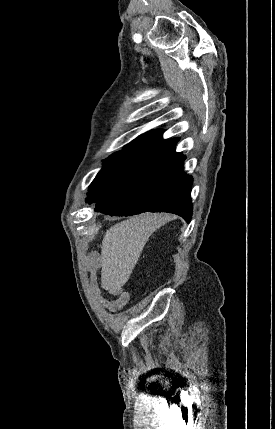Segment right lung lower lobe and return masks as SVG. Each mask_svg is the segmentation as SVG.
Masks as SVG:
<instances>
[{
	"label": "right lung lower lobe",
	"instance_id": "right-lung-lower-lobe-1",
	"mask_svg": "<svg viewBox=\"0 0 275 429\" xmlns=\"http://www.w3.org/2000/svg\"><path fill=\"white\" fill-rule=\"evenodd\" d=\"M185 158L171 147L144 163L137 174L116 192L97 201L95 211L111 216L169 212L189 223L193 179L182 170Z\"/></svg>",
	"mask_w": 275,
	"mask_h": 429
}]
</instances>
